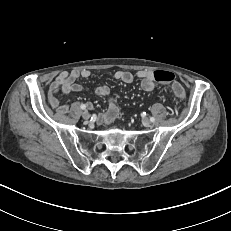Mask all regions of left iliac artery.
Masks as SVG:
<instances>
[{
    "label": "left iliac artery",
    "instance_id": "44dca946",
    "mask_svg": "<svg viewBox=\"0 0 231 231\" xmlns=\"http://www.w3.org/2000/svg\"><path fill=\"white\" fill-rule=\"evenodd\" d=\"M150 121H151V122H154V121H155V118H154V117H150Z\"/></svg>",
    "mask_w": 231,
    "mask_h": 231
}]
</instances>
